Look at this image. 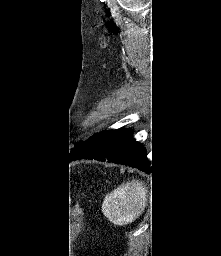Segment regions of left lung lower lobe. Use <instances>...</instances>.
I'll return each instance as SVG.
<instances>
[{
  "instance_id": "0a47b994",
  "label": "left lung lower lobe",
  "mask_w": 221,
  "mask_h": 256,
  "mask_svg": "<svg viewBox=\"0 0 221 256\" xmlns=\"http://www.w3.org/2000/svg\"><path fill=\"white\" fill-rule=\"evenodd\" d=\"M95 159L151 171L146 150L132 138L131 129L109 130L87 139L70 160Z\"/></svg>"
}]
</instances>
